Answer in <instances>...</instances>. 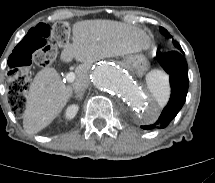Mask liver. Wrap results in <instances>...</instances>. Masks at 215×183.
<instances>
[{
	"instance_id": "obj_1",
	"label": "liver",
	"mask_w": 215,
	"mask_h": 183,
	"mask_svg": "<svg viewBox=\"0 0 215 183\" xmlns=\"http://www.w3.org/2000/svg\"><path fill=\"white\" fill-rule=\"evenodd\" d=\"M72 43H66L61 60L82 62L76 68V80L88 77L92 63L103 59L147 50L151 41L140 28L112 20H84L72 27ZM72 95L54 68H44L34 77L27 93L23 127L36 134L47 127L63 110Z\"/></svg>"
}]
</instances>
